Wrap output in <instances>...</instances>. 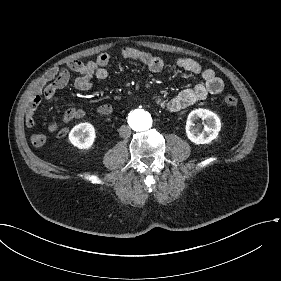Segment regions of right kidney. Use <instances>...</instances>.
Segmentation results:
<instances>
[{
	"label": "right kidney",
	"instance_id": "ca27d5eb",
	"mask_svg": "<svg viewBox=\"0 0 281 281\" xmlns=\"http://www.w3.org/2000/svg\"><path fill=\"white\" fill-rule=\"evenodd\" d=\"M96 137L95 127L88 122L80 123L71 130V144L79 150H91Z\"/></svg>",
	"mask_w": 281,
	"mask_h": 281
}]
</instances>
